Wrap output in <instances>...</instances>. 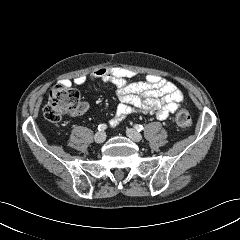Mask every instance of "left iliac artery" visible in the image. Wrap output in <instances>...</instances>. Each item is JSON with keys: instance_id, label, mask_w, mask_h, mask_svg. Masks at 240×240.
Instances as JSON below:
<instances>
[{"instance_id": "44dca946", "label": "left iliac artery", "mask_w": 240, "mask_h": 240, "mask_svg": "<svg viewBox=\"0 0 240 240\" xmlns=\"http://www.w3.org/2000/svg\"><path fill=\"white\" fill-rule=\"evenodd\" d=\"M134 128L138 131V132H140V131H142L144 128H143V126L142 125H139V124H136L135 126H134Z\"/></svg>"}]
</instances>
